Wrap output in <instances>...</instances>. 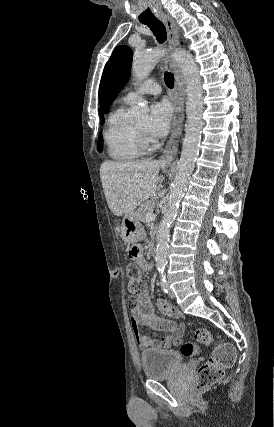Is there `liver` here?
Wrapping results in <instances>:
<instances>
[{"mask_svg": "<svg viewBox=\"0 0 274 427\" xmlns=\"http://www.w3.org/2000/svg\"><path fill=\"white\" fill-rule=\"evenodd\" d=\"M153 162H103L100 178L107 204L114 215L134 214L135 208L153 198L163 176Z\"/></svg>", "mask_w": 274, "mask_h": 427, "instance_id": "obj_1", "label": "liver"}]
</instances>
